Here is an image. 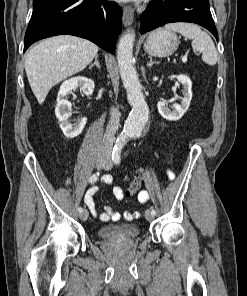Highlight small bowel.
<instances>
[{
    "mask_svg": "<svg viewBox=\"0 0 247 296\" xmlns=\"http://www.w3.org/2000/svg\"><path fill=\"white\" fill-rule=\"evenodd\" d=\"M101 181L104 185H110L112 183L113 179H112V176L105 175L102 177ZM69 183H70V179L68 178L66 180V184L68 185ZM97 192H98V188L92 187V188L88 189L87 192L85 193L84 203H85L86 207L88 208V210L91 212V214L94 217H98L103 222L118 221L121 218V214L118 212H115L112 209V207L105 206L102 211L97 210L96 204L94 201V196L96 195ZM113 194L117 200H123V198L125 196L123 189L119 186H115L113 188ZM149 198H150L149 193L145 190L140 191L137 196V200L139 203H145L149 200ZM138 216H139V214L137 212L126 211L124 213V217L126 220H133V219L137 218Z\"/></svg>",
    "mask_w": 247,
    "mask_h": 296,
    "instance_id": "small-bowel-1",
    "label": "small bowel"
}]
</instances>
